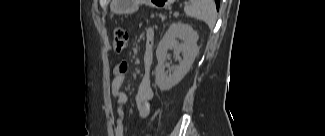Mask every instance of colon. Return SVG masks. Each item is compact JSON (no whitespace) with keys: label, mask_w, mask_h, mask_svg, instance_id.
<instances>
[{"label":"colon","mask_w":325,"mask_h":136,"mask_svg":"<svg viewBox=\"0 0 325 136\" xmlns=\"http://www.w3.org/2000/svg\"><path fill=\"white\" fill-rule=\"evenodd\" d=\"M127 36L128 34L122 29H117L115 31L114 39H113V47L116 52H121L125 49L127 44Z\"/></svg>","instance_id":"1"}]
</instances>
